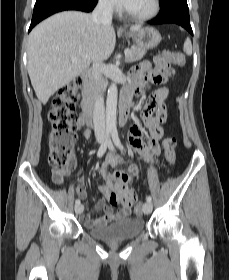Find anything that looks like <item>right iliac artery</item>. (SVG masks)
Masks as SVG:
<instances>
[{
  "label": "right iliac artery",
  "mask_w": 229,
  "mask_h": 280,
  "mask_svg": "<svg viewBox=\"0 0 229 280\" xmlns=\"http://www.w3.org/2000/svg\"><path fill=\"white\" fill-rule=\"evenodd\" d=\"M110 133L111 131L108 130L107 133H106V137H105V141L103 142V144L100 146L98 152H97V157H102L104 155V153L106 152V149H107V146L109 144V141H110ZM80 200L79 199H76L75 201V204L78 205L80 204Z\"/></svg>",
  "instance_id": "1"
}]
</instances>
